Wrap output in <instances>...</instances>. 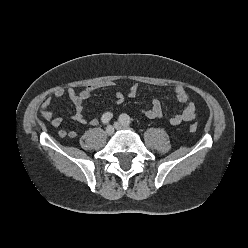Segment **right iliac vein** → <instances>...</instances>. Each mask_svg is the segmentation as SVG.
<instances>
[{
  "mask_svg": "<svg viewBox=\"0 0 248 248\" xmlns=\"http://www.w3.org/2000/svg\"><path fill=\"white\" fill-rule=\"evenodd\" d=\"M114 131H115V128H114V126H112V125H109V126L106 128V134H107L108 136L113 135V134H114Z\"/></svg>",
  "mask_w": 248,
  "mask_h": 248,
  "instance_id": "right-iliac-vein-1",
  "label": "right iliac vein"
}]
</instances>
